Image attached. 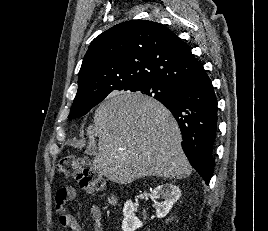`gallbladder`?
<instances>
[{
    "label": "gallbladder",
    "mask_w": 268,
    "mask_h": 231,
    "mask_svg": "<svg viewBox=\"0 0 268 231\" xmlns=\"http://www.w3.org/2000/svg\"><path fill=\"white\" fill-rule=\"evenodd\" d=\"M87 153H88V154H92V155H94V154H96V151L94 150L93 147H88V149H87Z\"/></svg>",
    "instance_id": "bac80fb5"
}]
</instances>
